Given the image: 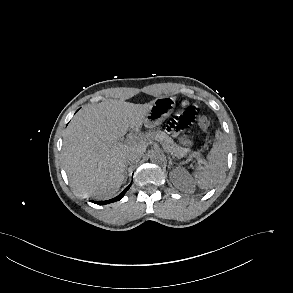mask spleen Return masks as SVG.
Instances as JSON below:
<instances>
[{"instance_id":"1","label":"spleen","mask_w":293,"mask_h":293,"mask_svg":"<svg viewBox=\"0 0 293 293\" xmlns=\"http://www.w3.org/2000/svg\"><path fill=\"white\" fill-rule=\"evenodd\" d=\"M227 160L226 140L220 130L216 131L213 147L207 155L204 166L193 173L194 181L201 189L211 188L225 172Z\"/></svg>"}]
</instances>
